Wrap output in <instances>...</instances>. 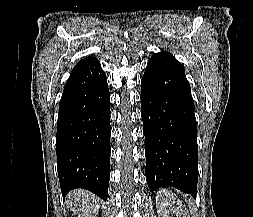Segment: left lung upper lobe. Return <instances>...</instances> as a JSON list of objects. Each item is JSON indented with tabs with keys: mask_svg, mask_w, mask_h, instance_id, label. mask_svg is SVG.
Wrapping results in <instances>:
<instances>
[{
	"mask_svg": "<svg viewBox=\"0 0 253 217\" xmlns=\"http://www.w3.org/2000/svg\"><path fill=\"white\" fill-rule=\"evenodd\" d=\"M163 53H165V54H168V55L172 56L170 53H167V52H163ZM172 57H173V56H172Z\"/></svg>",
	"mask_w": 253,
	"mask_h": 217,
	"instance_id": "5c2ea615",
	"label": "left lung upper lobe"
}]
</instances>
